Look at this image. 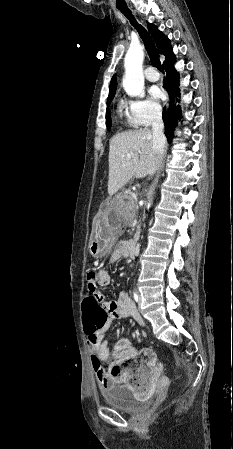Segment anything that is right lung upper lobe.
<instances>
[{
	"instance_id": "right-lung-upper-lobe-1",
	"label": "right lung upper lobe",
	"mask_w": 233,
	"mask_h": 449,
	"mask_svg": "<svg viewBox=\"0 0 233 449\" xmlns=\"http://www.w3.org/2000/svg\"><path fill=\"white\" fill-rule=\"evenodd\" d=\"M147 27L156 43L158 52L164 55L166 58L163 63V66H167L175 62V55L172 52L170 40L161 31H159L157 26H155L154 24L147 23ZM116 88H117V80L116 76L114 75L110 82L109 95L115 94Z\"/></svg>"
}]
</instances>
